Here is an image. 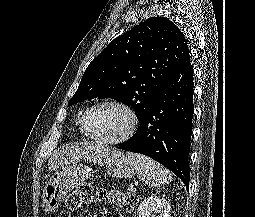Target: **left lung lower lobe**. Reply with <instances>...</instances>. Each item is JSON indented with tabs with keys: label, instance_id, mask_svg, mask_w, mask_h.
I'll return each mask as SVG.
<instances>
[{
	"label": "left lung lower lobe",
	"instance_id": "1",
	"mask_svg": "<svg viewBox=\"0 0 255 217\" xmlns=\"http://www.w3.org/2000/svg\"><path fill=\"white\" fill-rule=\"evenodd\" d=\"M193 74L188 55L160 86L135 135L117 147L151 157L178 176L187 189L194 113Z\"/></svg>",
	"mask_w": 255,
	"mask_h": 217
}]
</instances>
